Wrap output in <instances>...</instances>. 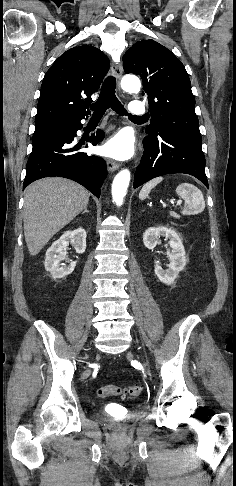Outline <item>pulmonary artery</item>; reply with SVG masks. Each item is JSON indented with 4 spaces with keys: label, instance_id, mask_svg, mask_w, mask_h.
<instances>
[{
    "label": "pulmonary artery",
    "instance_id": "pulmonary-artery-1",
    "mask_svg": "<svg viewBox=\"0 0 236 486\" xmlns=\"http://www.w3.org/2000/svg\"><path fill=\"white\" fill-rule=\"evenodd\" d=\"M129 110L133 116H142L146 113L145 106L139 101H132L129 105Z\"/></svg>",
    "mask_w": 236,
    "mask_h": 486
}]
</instances>
